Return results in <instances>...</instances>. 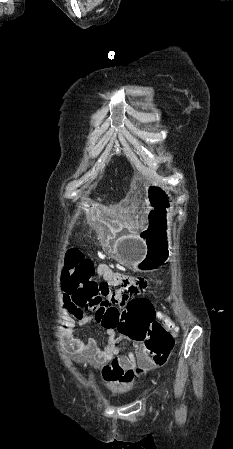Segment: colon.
<instances>
[{
	"mask_svg": "<svg viewBox=\"0 0 233 449\" xmlns=\"http://www.w3.org/2000/svg\"><path fill=\"white\" fill-rule=\"evenodd\" d=\"M63 277V288L72 303L86 313L93 314L97 328H117L123 338L134 343L135 349H149L153 354H170L174 344L173 334L165 331L154 320L155 310L150 308L148 301H127L124 307H119L118 301H114L116 304L109 308L98 305L101 294L98 290L99 277L93 262L85 258L79 249L71 248L67 252Z\"/></svg>",
	"mask_w": 233,
	"mask_h": 449,
	"instance_id": "5ec220e1",
	"label": "colon"
}]
</instances>
